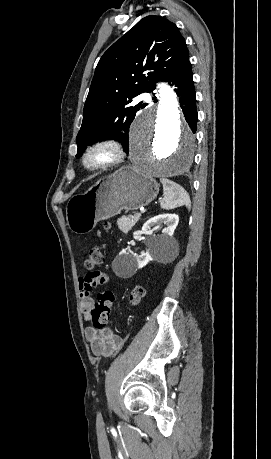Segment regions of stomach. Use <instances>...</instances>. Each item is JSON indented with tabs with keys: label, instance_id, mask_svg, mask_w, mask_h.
Masks as SVG:
<instances>
[{
	"label": "stomach",
	"instance_id": "obj_1",
	"mask_svg": "<svg viewBox=\"0 0 271 459\" xmlns=\"http://www.w3.org/2000/svg\"><path fill=\"white\" fill-rule=\"evenodd\" d=\"M159 184L131 166H122L100 178L86 194H77L66 208L67 224L74 233H89L99 220H108L121 210H138L158 196Z\"/></svg>",
	"mask_w": 271,
	"mask_h": 459
}]
</instances>
